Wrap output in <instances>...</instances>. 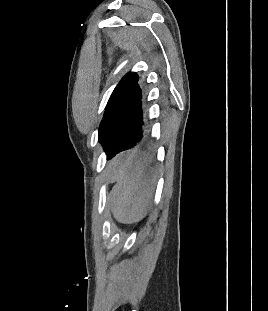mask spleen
<instances>
[{"instance_id": "obj_1", "label": "spleen", "mask_w": 268, "mask_h": 311, "mask_svg": "<svg viewBox=\"0 0 268 311\" xmlns=\"http://www.w3.org/2000/svg\"><path fill=\"white\" fill-rule=\"evenodd\" d=\"M142 156L137 148H130L127 156H122V164L114 170L116 184L108 195V204L114 218L123 224L142 220L150 208L154 192L150 179L155 178L156 170Z\"/></svg>"}]
</instances>
